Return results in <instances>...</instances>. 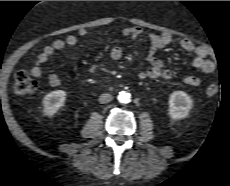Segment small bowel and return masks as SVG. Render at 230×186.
Masks as SVG:
<instances>
[{
	"label": "small bowel",
	"instance_id": "small-bowel-1",
	"mask_svg": "<svg viewBox=\"0 0 230 186\" xmlns=\"http://www.w3.org/2000/svg\"><path fill=\"white\" fill-rule=\"evenodd\" d=\"M92 29L82 28L79 30V35L84 37L89 34ZM124 36L132 38H139L147 36L150 41V46L147 54V60L150 67L146 70L139 72L138 78L140 80L146 79H163L168 80L172 78V72L165 67L162 61L156 58L157 50L164 48L171 44L174 40L170 34H147L143 29L137 26H128L122 31ZM78 43V38L74 34L67 35L64 39H57L50 45L46 46L38 55L36 61L32 64L30 72L35 77L43 76L42 66L47 63L50 58L58 51L69 48H74ZM179 47L188 53L192 54V65L202 73L210 74L215 71L216 65L209 58L208 51L201 46L196 45L190 39H181L178 42ZM122 49L119 46H113L110 50V59L117 61L122 57ZM48 81L52 86L61 85V77L59 74L53 73L48 77ZM184 82L189 86H198L200 79L194 75H188L184 78Z\"/></svg>",
	"mask_w": 230,
	"mask_h": 186
}]
</instances>
